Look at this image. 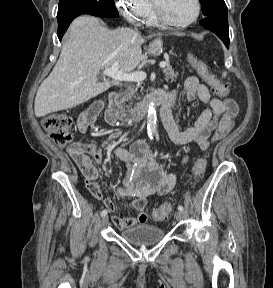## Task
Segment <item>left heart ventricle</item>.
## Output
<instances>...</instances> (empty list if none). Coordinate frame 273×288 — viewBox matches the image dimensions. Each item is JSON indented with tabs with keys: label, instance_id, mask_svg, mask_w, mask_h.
Here are the masks:
<instances>
[{
	"label": "left heart ventricle",
	"instance_id": "1",
	"mask_svg": "<svg viewBox=\"0 0 273 288\" xmlns=\"http://www.w3.org/2000/svg\"><path fill=\"white\" fill-rule=\"evenodd\" d=\"M163 14L177 22H183L190 19L195 11V0H154Z\"/></svg>",
	"mask_w": 273,
	"mask_h": 288
}]
</instances>
